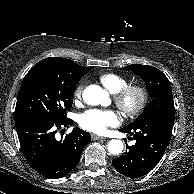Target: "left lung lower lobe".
Returning <instances> with one entry per match:
<instances>
[{"label":"left lung lower lobe","instance_id":"0a47b994","mask_svg":"<svg viewBox=\"0 0 194 194\" xmlns=\"http://www.w3.org/2000/svg\"><path fill=\"white\" fill-rule=\"evenodd\" d=\"M175 111L156 112L119 131L133 136L136 143L114 159V168L124 176L138 178L149 173L162 158L174 125Z\"/></svg>","mask_w":194,"mask_h":194}]
</instances>
